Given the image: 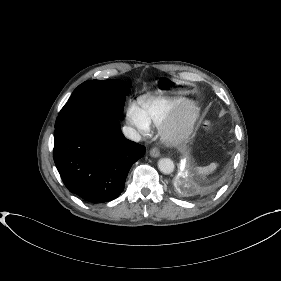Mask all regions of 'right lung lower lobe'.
Returning <instances> with one entry per match:
<instances>
[{"label":"right lung lower lobe","instance_id":"1","mask_svg":"<svg viewBox=\"0 0 281 281\" xmlns=\"http://www.w3.org/2000/svg\"><path fill=\"white\" fill-rule=\"evenodd\" d=\"M54 161L67 189L97 203L117 198L145 147L127 140L119 119L68 121L54 131Z\"/></svg>","mask_w":281,"mask_h":281}]
</instances>
